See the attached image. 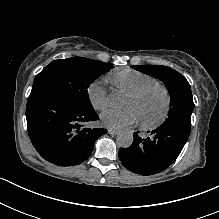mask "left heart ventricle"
<instances>
[{
  "mask_svg": "<svg viewBox=\"0 0 219 219\" xmlns=\"http://www.w3.org/2000/svg\"><path fill=\"white\" fill-rule=\"evenodd\" d=\"M125 107H133L140 116V120L146 123L158 121L165 108V97L161 90H150L139 97L128 96Z\"/></svg>",
  "mask_w": 219,
  "mask_h": 219,
  "instance_id": "left-heart-ventricle-1",
  "label": "left heart ventricle"
}]
</instances>
